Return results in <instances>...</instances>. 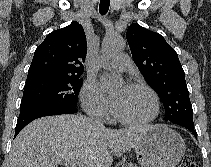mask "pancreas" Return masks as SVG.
<instances>
[{"mask_svg": "<svg viewBox=\"0 0 211 167\" xmlns=\"http://www.w3.org/2000/svg\"><path fill=\"white\" fill-rule=\"evenodd\" d=\"M122 167H138V166L133 163H124Z\"/></svg>", "mask_w": 211, "mask_h": 167, "instance_id": "obj_1", "label": "pancreas"}]
</instances>
